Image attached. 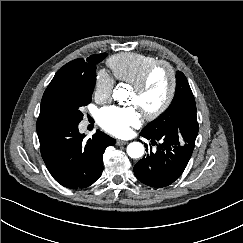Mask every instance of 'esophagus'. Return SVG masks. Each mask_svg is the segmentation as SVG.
<instances>
[{
    "label": "esophagus",
    "mask_w": 243,
    "mask_h": 243,
    "mask_svg": "<svg viewBox=\"0 0 243 243\" xmlns=\"http://www.w3.org/2000/svg\"><path fill=\"white\" fill-rule=\"evenodd\" d=\"M127 143H128V142L125 141V140H117V141H116V144H117L118 146L125 145V144H127Z\"/></svg>",
    "instance_id": "esophagus-1"
}]
</instances>
